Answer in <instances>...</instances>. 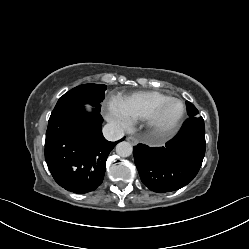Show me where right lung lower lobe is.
<instances>
[{"mask_svg":"<svg viewBox=\"0 0 249 249\" xmlns=\"http://www.w3.org/2000/svg\"><path fill=\"white\" fill-rule=\"evenodd\" d=\"M102 121L100 109L87 113L84 107L49 120L45 160L55 181L66 190L82 194L102 183L108 154L119 142L104 138Z\"/></svg>","mask_w":249,"mask_h":249,"instance_id":"1","label":"right lung lower lobe"}]
</instances>
